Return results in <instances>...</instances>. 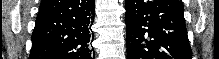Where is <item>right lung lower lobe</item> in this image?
Returning a JSON list of instances; mask_svg holds the SVG:
<instances>
[{
	"mask_svg": "<svg viewBox=\"0 0 219 59\" xmlns=\"http://www.w3.org/2000/svg\"><path fill=\"white\" fill-rule=\"evenodd\" d=\"M94 0H43L29 59H91Z\"/></svg>",
	"mask_w": 219,
	"mask_h": 59,
	"instance_id": "1",
	"label": "right lung lower lobe"
}]
</instances>
